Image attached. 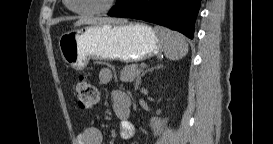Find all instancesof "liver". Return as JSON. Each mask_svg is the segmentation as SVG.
I'll return each instance as SVG.
<instances>
[{
    "mask_svg": "<svg viewBox=\"0 0 273 144\" xmlns=\"http://www.w3.org/2000/svg\"><path fill=\"white\" fill-rule=\"evenodd\" d=\"M104 23L110 24H125L127 23L124 19H112V18H80L75 24V27H79L84 24L99 25Z\"/></svg>",
    "mask_w": 273,
    "mask_h": 144,
    "instance_id": "liver-1",
    "label": "liver"
}]
</instances>
